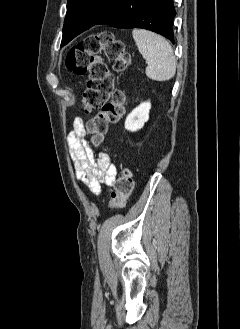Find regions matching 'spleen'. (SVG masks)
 <instances>
[{"label": "spleen", "instance_id": "3e777b00", "mask_svg": "<svg viewBox=\"0 0 240 329\" xmlns=\"http://www.w3.org/2000/svg\"><path fill=\"white\" fill-rule=\"evenodd\" d=\"M133 39L146 60L145 73L155 81L170 80L176 73V58L169 42L162 36L143 29H134Z\"/></svg>", "mask_w": 240, "mask_h": 329}]
</instances>
